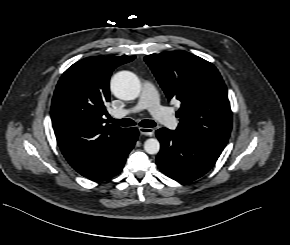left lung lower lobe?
Segmentation results:
<instances>
[{
  "instance_id": "1",
  "label": "left lung lower lobe",
  "mask_w": 290,
  "mask_h": 245,
  "mask_svg": "<svg viewBox=\"0 0 290 245\" xmlns=\"http://www.w3.org/2000/svg\"><path fill=\"white\" fill-rule=\"evenodd\" d=\"M156 136L161 149L156 161L159 169L170 178L187 183L206 174L216 163L223 149L160 128Z\"/></svg>"
}]
</instances>
